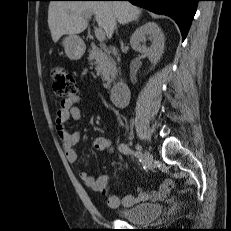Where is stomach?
Masks as SVG:
<instances>
[{
	"mask_svg": "<svg viewBox=\"0 0 231 231\" xmlns=\"http://www.w3.org/2000/svg\"><path fill=\"white\" fill-rule=\"evenodd\" d=\"M62 44L65 53L70 60H79L85 53V44L83 40L77 35L66 36Z\"/></svg>",
	"mask_w": 231,
	"mask_h": 231,
	"instance_id": "stomach-1",
	"label": "stomach"
}]
</instances>
